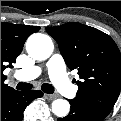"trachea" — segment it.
Instances as JSON below:
<instances>
[{"instance_id": "3493384b", "label": "trachea", "mask_w": 121, "mask_h": 121, "mask_svg": "<svg viewBox=\"0 0 121 121\" xmlns=\"http://www.w3.org/2000/svg\"><path fill=\"white\" fill-rule=\"evenodd\" d=\"M16 88L18 90H29L32 88V85L29 83L20 82L17 84ZM41 88L45 93L48 94H52L54 92V87L51 84H42Z\"/></svg>"}]
</instances>
